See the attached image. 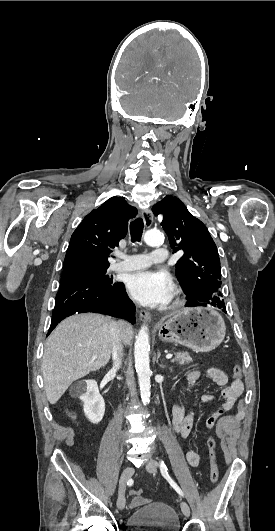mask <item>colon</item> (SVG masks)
<instances>
[{"instance_id":"5ec220e1","label":"colon","mask_w":275,"mask_h":531,"mask_svg":"<svg viewBox=\"0 0 275 531\" xmlns=\"http://www.w3.org/2000/svg\"><path fill=\"white\" fill-rule=\"evenodd\" d=\"M233 371L236 375H240L242 372L241 365L235 364L233 366ZM215 446V439L213 436H210L207 440V449L209 455L210 479L213 484H216L219 479L218 461ZM142 491L143 488L141 486H138L136 489H132L130 491V494L132 496H140L142 494Z\"/></svg>"}]
</instances>
